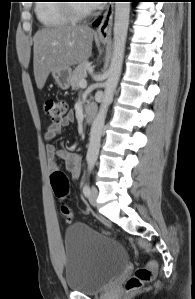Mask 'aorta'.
I'll list each match as a JSON object with an SVG mask.
<instances>
[{
    "mask_svg": "<svg viewBox=\"0 0 195 299\" xmlns=\"http://www.w3.org/2000/svg\"><path fill=\"white\" fill-rule=\"evenodd\" d=\"M129 14L130 2L115 3L113 54L108 70V78L105 82L103 100L91 126L89 146L86 157L87 162L94 163L98 158L101 134L104 128L106 114L108 107L113 100L122 70L125 43L129 25Z\"/></svg>",
    "mask_w": 195,
    "mask_h": 299,
    "instance_id": "obj_1",
    "label": "aorta"
}]
</instances>
